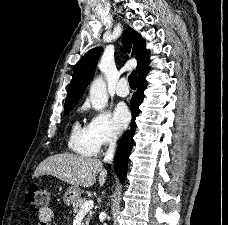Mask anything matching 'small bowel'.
Returning a JSON list of instances; mask_svg holds the SVG:
<instances>
[{
  "label": "small bowel",
  "mask_w": 228,
  "mask_h": 225,
  "mask_svg": "<svg viewBox=\"0 0 228 225\" xmlns=\"http://www.w3.org/2000/svg\"><path fill=\"white\" fill-rule=\"evenodd\" d=\"M38 225H53V212L51 209L47 208L38 215Z\"/></svg>",
  "instance_id": "1"
}]
</instances>
